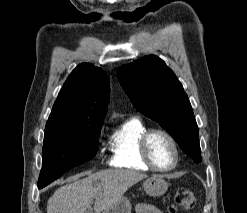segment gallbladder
<instances>
[{
  "mask_svg": "<svg viewBox=\"0 0 247 213\" xmlns=\"http://www.w3.org/2000/svg\"><path fill=\"white\" fill-rule=\"evenodd\" d=\"M85 213H92L90 209L86 210Z\"/></svg>",
  "mask_w": 247,
  "mask_h": 213,
  "instance_id": "obj_1",
  "label": "gallbladder"
}]
</instances>
